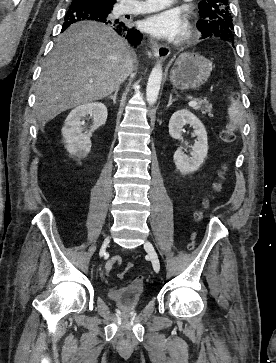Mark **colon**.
<instances>
[{
  "label": "colon",
  "mask_w": 276,
  "mask_h": 363,
  "mask_svg": "<svg viewBox=\"0 0 276 363\" xmlns=\"http://www.w3.org/2000/svg\"><path fill=\"white\" fill-rule=\"evenodd\" d=\"M221 139L223 140V142H225L227 144L231 143L234 140V132H233V129H232V126L231 125L227 126L222 131V133H221ZM224 177H225V169L220 173L221 180L218 181V182H216L214 184L213 189H214V191L216 193H218V192H220L222 190ZM204 204H205V207H207L209 205V199H206ZM202 216H203V212L202 211H199V212H197L195 214V219L197 221H199L202 218ZM194 239H195V233L192 234L191 241L188 244V250H190V251L193 250L194 247H195ZM131 267H132V264H128L127 269H130ZM133 283L135 285H140L141 284V280H139V279L138 280H135Z\"/></svg>",
  "instance_id": "1"
}]
</instances>
